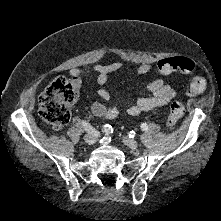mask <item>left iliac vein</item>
<instances>
[{
    "mask_svg": "<svg viewBox=\"0 0 221 221\" xmlns=\"http://www.w3.org/2000/svg\"><path fill=\"white\" fill-rule=\"evenodd\" d=\"M123 142L126 146L130 147L131 149H136L138 147V142L136 140L124 138Z\"/></svg>",
    "mask_w": 221,
    "mask_h": 221,
    "instance_id": "1",
    "label": "left iliac vein"
}]
</instances>
